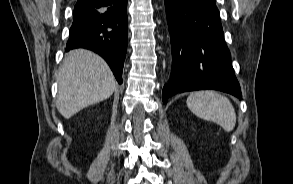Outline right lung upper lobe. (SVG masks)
<instances>
[{"label": "right lung upper lobe", "mask_w": 293, "mask_h": 184, "mask_svg": "<svg viewBox=\"0 0 293 184\" xmlns=\"http://www.w3.org/2000/svg\"><path fill=\"white\" fill-rule=\"evenodd\" d=\"M106 1H109V0H78L76 5L85 4L88 6H93L94 3H105ZM104 5H107V4L105 3Z\"/></svg>", "instance_id": "cb5924a9"}]
</instances>
